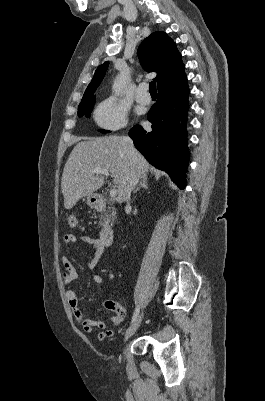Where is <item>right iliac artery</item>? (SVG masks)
<instances>
[{
    "label": "right iliac artery",
    "instance_id": "82829eb1",
    "mask_svg": "<svg viewBox=\"0 0 265 401\" xmlns=\"http://www.w3.org/2000/svg\"><path fill=\"white\" fill-rule=\"evenodd\" d=\"M138 314H139V307L137 306L134 311L131 323H133L136 320V318L138 317Z\"/></svg>",
    "mask_w": 265,
    "mask_h": 401
}]
</instances>
